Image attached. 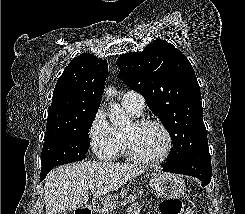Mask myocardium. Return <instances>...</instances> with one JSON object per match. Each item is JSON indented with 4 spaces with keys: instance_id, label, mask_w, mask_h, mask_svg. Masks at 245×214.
Listing matches in <instances>:
<instances>
[{
    "instance_id": "myocardium-1",
    "label": "myocardium",
    "mask_w": 245,
    "mask_h": 214,
    "mask_svg": "<svg viewBox=\"0 0 245 214\" xmlns=\"http://www.w3.org/2000/svg\"><path fill=\"white\" fill-rule=\"evenodd\" d=\"M132 124L136 128L150 126V125L160 128L166 137V146L165 149L162 151V153L157 157L154 158L144 157L137 152V150L133 145L131 136L124 131L123 132L124 143H125L127 154L131 159L145 165H153L161 162L170 154L173 148V138L169 129L162 122L153 119H137L134 120Z\"/></svg>"
}]
</instances>
